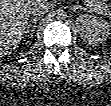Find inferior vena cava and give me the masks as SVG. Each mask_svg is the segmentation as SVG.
<instances>
[{"mask_svg":"<svg viewBox=\"0 0 111 106\" xmlns=\"http://www.w3.org/2000/svg\"><path fill=\"white\" fill-rule=\"evenodd\" d=\"M48 12L47 4L44 1L36 0L32 2L30 14L34 17H40Z\"/></svg>","mask_w":111,"mask_h":106,"instance_id":"obj_1","label":"inferior vena cava"}]
</instances>
